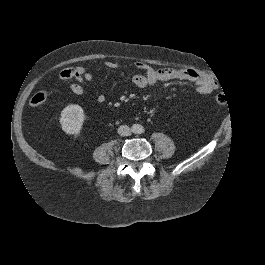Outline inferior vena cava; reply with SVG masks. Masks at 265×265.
<instances>
[{
  "mask_svg": "<svg viewBox=\"0 0 265 265\" xmlns=\"http://www.w3.org/2000/svg\"><path fill=\"white\" fill-rule=\"evenodd\" d=\"M118 134L121 136H129L131 135V129L127 125H121L118 128Z\"/></svg>",
  "mask_w": 265,
  "mask_h": 265,
  "instance_id": "602c4592",
  "label": "inferior vena cava"
}]
</instances>
